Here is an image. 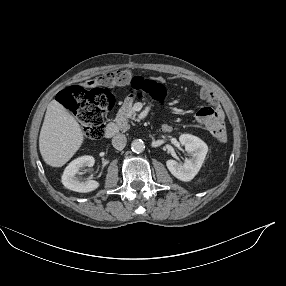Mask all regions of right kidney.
Listing matches in <instances>:
<instances>
[{"label": "right kidney", "instance_id": "obj_1", "mask_svg": "<svg viewBox=\"0 0 286 286\" xmlns=\"http://www.w3.org/2000/svg\"><path fill=\"white\" fill-rule=\"evenodd\" d=\"M95 159L92 156H81L72 162L65 168L62 175L63 185L76 192H91L99 187V183L95 180H85L82 181L76 177L79 172V169L83 166H93Z\"/></svg>", "mask_w": 286, "mask_h": 286}]
</instances>
